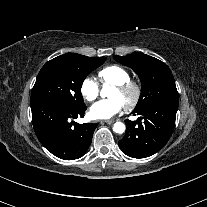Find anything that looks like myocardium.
<instances>
[{
	"mask_svg": "<svg viewBox=\"0 0 207 207\" xmlns=\"http://www.w3.org/2000/svg\"><path fill=\"white\" fill-rule=\"evenodd\" d=\"M117 91L125 99V104L129 109L135 108L142 96L141 84L134 80H127L122 84L115 85Z\"/></svg>",
	"mask_w": 207,
	"mask_h": 207,
	"instance_id": "myocardium-1",
	"label": "myocardium"
}]
</instances>
